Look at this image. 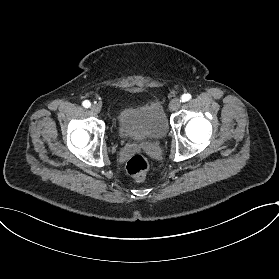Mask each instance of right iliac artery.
<instances>
[{
	"instance_id": "82829eb1",
	"label": "right iliac artery",
	"mask_w": 279,
	"mask_h": 279,
	"mask_svg": "<svg viewBox=\"0 0 279 279\" xmlns=\"http://www.w3.org/2000/svg\"><path fill=\"white\" fill-rule=\"evenodd\" d=\"M83 106L85 108H89L91 106V103L88 100L83 101Z\"/></svg>"
}]
</instances>
